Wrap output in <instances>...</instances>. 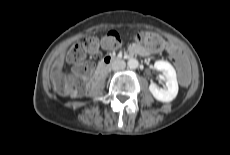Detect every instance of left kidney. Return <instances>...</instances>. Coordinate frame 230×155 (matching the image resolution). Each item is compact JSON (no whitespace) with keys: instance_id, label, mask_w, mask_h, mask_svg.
<instances>
[{"instance_id":"obj_1","label":"left kidney","mask_w":230,"mask_h":155,"mask_svg":"<svg viewBox=\"0 0 230 155\" xmlns=\"http://www.w3.org/2000/svg\"><path fill=\"white\" fill-rule=\"evenodd\" d=\"M156 70L162 72L160 78L166 81V89L151 83L149 90L154 98L161 102H171L178 94V82L174 67L167 61L159 60L154 64Z\"/></svg>"}]
</instances>
